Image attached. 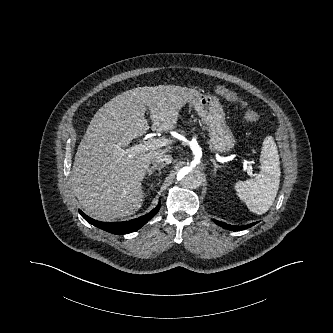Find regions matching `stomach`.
I'll return each mask as SVG.
<instances>
[{
	"instance_id": "0dacf381",
	"label": "stomach",
	"mask_w": 333,
	"mask_h": 333,
	"mask_svg": "<svg viewBox=\"0 0 333 333\" xmlns=\"http://www.w3.org/2000/svg\"><path fill=\"white\" fill-rule=\"evenodd\" d=\"M189 104L198 113L209 132L210 144L217 152H229L235 146L232 130L225 120V112L219 99L199 93Z\"/></svg>"
}]
</instances>
